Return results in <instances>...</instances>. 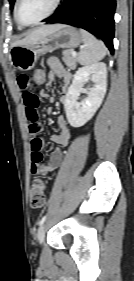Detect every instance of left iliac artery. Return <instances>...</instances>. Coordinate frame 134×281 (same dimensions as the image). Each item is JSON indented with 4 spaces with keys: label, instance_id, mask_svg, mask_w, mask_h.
<instances>
[{
    "label": "left iliac artery",
    "instance_id": "1",
    "mask_svg": "<svg viewBox=\"0 0 134 281\" xmlns=\"http://www.w3.org/2000/svg\"><path fill=\"white\" fill-rule=\"evenodd\" d=\"M45 220H46V215L41 218V220L39 221V225H42L45 222Z\"/></svg>",
    "mask_w": 134,
    "mask_h": 281
}]
</instances>
